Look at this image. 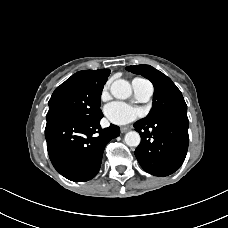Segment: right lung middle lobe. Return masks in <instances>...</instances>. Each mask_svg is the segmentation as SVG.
<instances>
[{
  "label": "right lung middle lobe",
  "mask_w": 228,
  "mask_h": 228,
  "mask_svg": "<svg viewBox=\"0 0 228 228\" xmlns=\"http://www.w3.org/2000/svg\"><path fill=\"white\" fill-rule=\"evenodd\" d=\"M108 76L109 73L94 82L70 77L58 86L48 102L47 124L60 119H92L100 115L101 93Z\"/></svg>",
  "instance_id": "obj_1"
}]
</instances>
